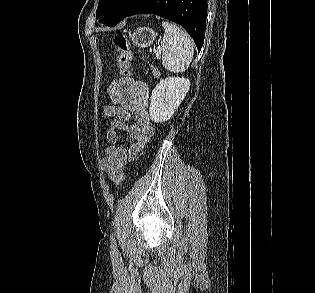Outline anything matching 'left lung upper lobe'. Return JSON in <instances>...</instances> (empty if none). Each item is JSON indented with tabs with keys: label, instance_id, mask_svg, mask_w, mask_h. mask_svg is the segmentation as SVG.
I'll return each mask as SVG.
<instances>
[{
	"label": "left lung upper lobe",
	"instance_id": "5c2ea615",
	"mask_svg": "<svg viewBox=\"0 0 315 293\" xmlns=\"http://www.w3.org/2000/svg\"><path fill=\"white\" fill-rule=\"evenodd\" d=\"M141 2V0H100L96 18L108 26H115Z\"/></svg>",
	"mask_w": 315,
	"mask_h": 293
}]
</instances>
